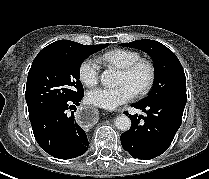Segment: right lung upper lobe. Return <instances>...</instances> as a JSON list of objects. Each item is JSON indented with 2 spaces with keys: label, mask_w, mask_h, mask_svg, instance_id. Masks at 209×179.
<instances>
[{
  "label": "right lung upper lobe",
  "mask_w": 209,
  "mask_h": 179,
  "mask_svg": "<svg viewBox=\"0 0 209 179\" xmlns=\"http://www.w3.org/2000/svg\"><path fill=\"white\" fill-rule=\"evenodd\" d=\"M82 44L70 41V40H59L56 41L50 45H48L47 47H45L44 49H67V48H75V47H79Z\"/></svg>",
  "instance_id": "cb5924a9"
}]
</instances>
